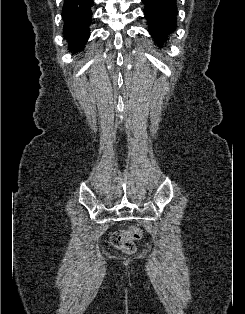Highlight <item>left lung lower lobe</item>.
<instances>
[{
  "mask_svg": "<svg viewBox=\"0 0 245 314\" xmlns=\"http://www.w3.org/2000/svg\"><path fill=\"white\" fill-rule=\"evenodd\" d=\"M148 31L153 38L162 43L176 29V0H142Z\"/></svg>",
  "mask_w": 245,
  "mask_h": 314,
  "instance_id": "0a47b994",
  "label": "left lung lower lobe"
}]
</instances>
